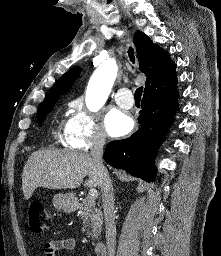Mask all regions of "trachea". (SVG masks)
<instances>
[{
  "instance_id": "trachea-1",
  "label": "trachea",
  "mask_w": 221,
  "mask_h": 256,
  "mask_svg": "<svg viewBox=\"0 0 221 256\" xmlns=\"http://www.w3.org/2000/svg\"><path fill=\"white\" fill-rule=\"evenodd\" d=\"M128 53H129L130 60L134 63L135 57H134V53H133L132 48L129 49ZM142 92H143V87H139L135 91V93H134L135 102H140L141 96H142Z\"/></svg>"
}]
</instances>
